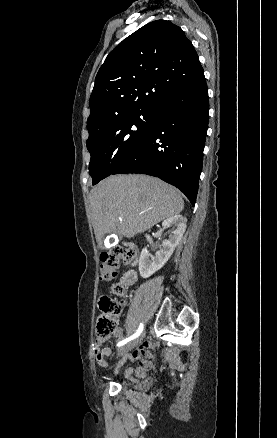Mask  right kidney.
Returning a JSON list of instances; mask_svg holds the SVG:
<instances>
[{"instance_id": "1", "label": "right kidney", "mask_w": 277, "mask_h": 438, "mask_svg": "<svg viewBox=\"0 0 277 438\" xmlns=\"http://www.w3.org/2000/svg\"><path fill=\"white\" fill-rule=\"evenodd\" d=\"M187 218L176 214L171 216L162 222L163 228L172 226L173 232H171L168 240L162 242L161 250H158L154 256L149 254L147 248H143L140 254L139 260V272L141 278H150L152 274H155L157 270H161L168 262L170 256H172L176 246H178L185 230H186Z\"/></svg>"}]
</instances>
